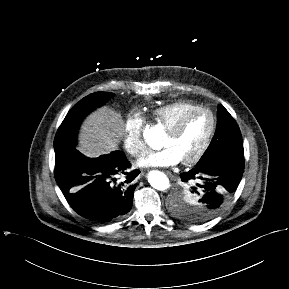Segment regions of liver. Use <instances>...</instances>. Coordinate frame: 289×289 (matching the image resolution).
<instances>
[{
    "mask_svg": "<svg viewBox=\"0 0 289 289\" xmlns=\"http://www.w3.org/2000/svg\"><path fill=\"white\" fill-rule=\"evenodd\" d=\"M124 133V121L120 113L104 106L90 114L79 134L78 150L90 158L115 150Z\"/></svg>",
    "mask_w": 289,
    "mask_h": 289,
    "instance_id": "liver-1",
    "label": "liver"
}]
</instances>
